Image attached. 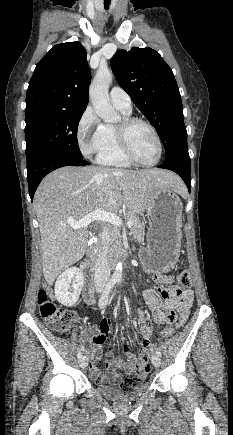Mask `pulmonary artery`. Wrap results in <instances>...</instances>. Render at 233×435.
<instances>
[{"instance_id": "e3ab8cb5", "label": "pulmonary artery", "mask_w": 233, "mask_h": 435, "mask_svg": "<svg viewBox=\"0 0 233 435\" xmlns=\"http://www.w3.org/2000/svg\"><path fill=\"white\" fill-rule=\"evenodd\" d=\"M110 101L122 111L131 112V99L129 95L120 87H113L110 91Z\"/></svg>"}]
</instances>
